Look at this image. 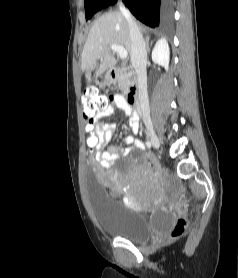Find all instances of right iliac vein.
<instances>
[{
    "instance_id": "63e3f726",
    "label": "right iliac vein",
    "mask_w": 238,
    "mask_h": 278,
    "mask_svg": "<svg viewBox=\"0 0 238 278\" xmlns=\"http://www.w3.org/2000/svg\"><path fill=\"white\" fill-rule=\"evenodd\" d=\"M148 136L150 138L151 144L154 148L158 149L160 147V140L157 137L156 133L151 127H148L147 129Z\"/></svg>"
}]
</instances>
